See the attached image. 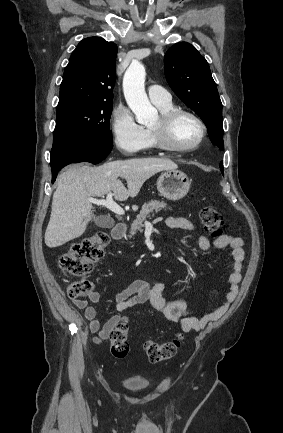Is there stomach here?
<instances>
[{
  "label": "stomach",
  "instance_id": "1",
  "mask_svg": "<svg viewBox=\"0 0 283 433\" xmlns=\"http://www.w3.org/2000/svg\"><path fill=\"white\" fill-rule=\"evenodd\" d=\"M190 180L181 170H165L157 180V188L168 200H180L190 188Z\"/></svg>",
  "mask_w": 283,
  "mask_h": 433
}]
</instances>
